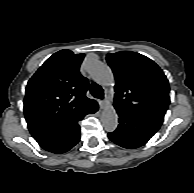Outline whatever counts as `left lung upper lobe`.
Instances as JSON below:
<instances>
[{
  "instance_id": "5c2ea615",
  "label": "left lung upper lobe",
  "mask_w": 194,
  "mask_h": 193,
  "mask_svg": "<svg viewBox=\"0 0 194 193\" xmlns=\"http://www.w3.org/2000/svg\"><path fill=\"white\" fill-rule=\"evenodd\" d=\"M106 60L116 79V110L161 125L170 98L169 83L160 67L131 51L108 54Z\"/></svg>"
}]
</instances>
